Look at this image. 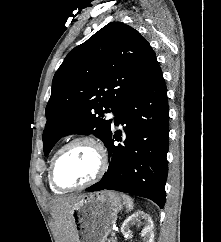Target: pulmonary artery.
Returning a JSON list of instances; mask_svg holds the SVG:
<instances>
[{
  "mask_svg": "<svg viewBox=\"0 0 221 242\" xmlns=\"http://www.w3.org/2000/svg\"><path fill=\"white\" fill-rule=\"evenodd\" d=\"M111 118H115V115L113 113L110 114Z\"/></svg>",
  "mask_w": 221,
  "mask_h": 242,
  "instance_id": "e3ab8cb5",
  "label": "pulmonary artery"
}]
</instances>
